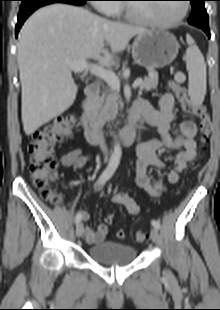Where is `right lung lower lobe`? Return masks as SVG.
Wrapping results in <instances>:
<instances>
[{
	"mask_svg": "<svg viewBox=\"0 0 220 310\" xmlns=\"http://www.w3.org/2000/svg\"><path fill=\"white\" fill-rule=\"evenodd\" d=\"M87 0H22L18 14V22L16 25V36L23 25L24 21L39 7L51 4V3H67L72 5H83Z\"/></svg>",
	"mask_w": 220,
	"mask_h": 310,
	"instance_id": "right-lung-lower-lobe-1",
	"label": "right lung lower lobe"
}]
</instances>
